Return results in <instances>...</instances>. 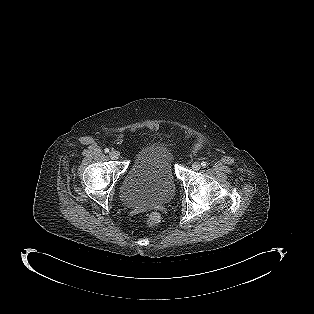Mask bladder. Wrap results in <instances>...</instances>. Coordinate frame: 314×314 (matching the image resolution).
Wrapping results in <instances>:
<instances>
[{
	"label": "bladder",
	"mask_w": 314,
	"mask_h": 314,
	"mask_svg": "<svg viewBox=\"0 0 314 314\" xmlns=\"http://www.w3.org/2000/svg\"><path fill=\"white\" fill-rule=\"evenodd\" d=\"M176 178L173 155L161 145L142 150L126 172L121 200L130 208H156L174 196Z\"/></svg>",
	"instance_id": "bladder-1"
}]
</instances>
